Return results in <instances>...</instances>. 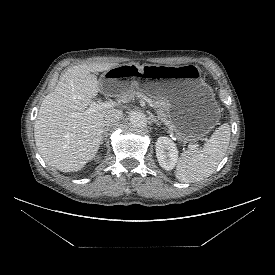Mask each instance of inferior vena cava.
<instances>
[{
  "mask_svg": "<svg viewBox=\"0 0 275 275\" xmlns=\"http://www.w3.org/2000/svg\"><path fill=\"white\" fill-rule=\"evenodd\" d=\"M123 118V113L119 110H110L106 115H105V125L107 126H112L118 123L121 119Z\"/></svg>",
  "mask_w": 275,
  "mask_h": 275,
  "instance_id": "1",
  "label": "inferior vena cava"
}]
</instances>
